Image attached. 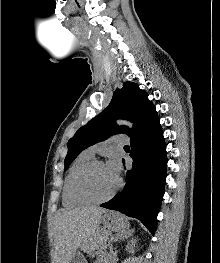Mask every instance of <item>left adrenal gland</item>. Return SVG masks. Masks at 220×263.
<instances>
[{"mask_svg":"<svg viewBox=\"0 0 220 263\" xmlns=\"http://www.w3.org/2000/svg\"><path fill=\"white\" fill-rule=\"evenodd\" d=\"M133 231H134L133 229H129L127 231L115 234L114 238H112V242L127 239L128 237H130L132 235ZM111 249H112V247H111Z\"/></svg>","mask_w":220,"mask_h":263,"instance_id":"a2214340","label":"left adrenal gland"}]
</instances>
